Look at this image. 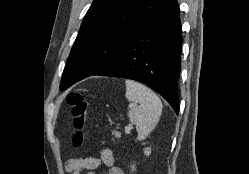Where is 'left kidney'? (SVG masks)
Returning <instances> with one entry per match:
<instances>
[{
  "instance_id": "1",
  "label": "left kidney",
  "mask_w": 249,
  "mask_h": 174,
  "mask_svg": "<svg viewBox=\"0 0 249 174\" xmlns=\"http://www.w3.org/2000/svg\"><path fill=\"white\" fill-rule=\"evenodd\" d=\"M150 153H151V148L148 147V148H145V149H144V154H145L146 156H149ZM131 168H132V171H134V170H135V165H132Z\"/></svg>"
}]
</instances>
